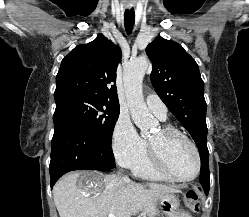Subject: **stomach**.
I'll return each mask as SVG.
<instances>
[{"mask_svg": "<svg viewBox=\"0 0 249 217\" xmlns=\"http://www.w3.org/2000/svg\"><path fill=\"white\" fill-rule=\"evenodd\" d=\"M159 206L164 214L173 217L179 208V199L171 193H166L159 199Z\"/></svg>", "mask_w": 249, "mask_h": 217, "instance_id": "stomach-1", "label": "stomach"}]
</instances>
